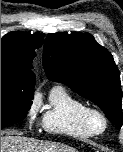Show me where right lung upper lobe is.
<instances>
[{"label":"right lung upper lobe","instance_id":"obj_1","mask_svg":"<svg viewBox=\"0 0 123 152\" xmlns=\"http://www.w3.org/2000/svg\"><path fill=\"white\" fill-rule=\"evenodd\" d=\"M44 41L43 37L24 32H11L1 39V75L11 76L21 84L33 86L35 79L32 60L35 49Z\"/></svg>","mask_w":123,"mask_h":152}]
</instances>
